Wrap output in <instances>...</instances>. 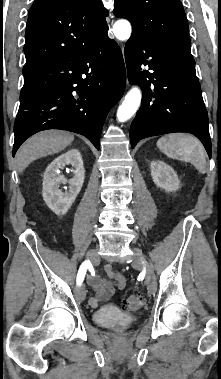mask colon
I'll return each instance as SVG.
<instances>
[{
  "label": "colon",
  "instance_id": "1",
  "mask_svg": "<svg viewBox=\"0 0 221 379\" xmlns=\"http://www.w3.org/2000/svg\"><path fill=\"white\" fill-rule=\"evenodd\" d=\"M144 299L139 295H130L123 299L122 306L123 308L135 310L142 306Z\"/></svg>",
  "mask_w": 221,
  "mask_h": 379
}]
</instances>
